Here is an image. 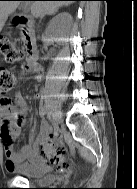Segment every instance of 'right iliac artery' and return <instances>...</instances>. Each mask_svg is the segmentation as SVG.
I'll use <instances>...</instances> for the list:
<instances>
[{"instance_id": "obj_1", "label": "right iliac artery", "mask_w": 137, "mask_h": 189, "mask_svg": "<svg viewBox=\"0 0 137 189\" xmlns=\"http://www.w3.org/2000/svg\"><path fill=\"white\" fill-rule=\"evenodd\" d=\"M41 114H42V115H45L46 112H43V111H42ZM47 118H48L49 125H52V119H51V114H50V113L47 114Z\"/></svg>"}]
</instances>
